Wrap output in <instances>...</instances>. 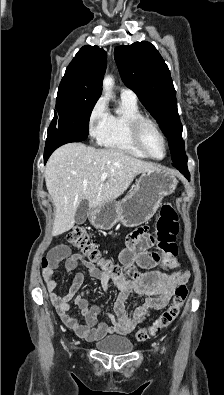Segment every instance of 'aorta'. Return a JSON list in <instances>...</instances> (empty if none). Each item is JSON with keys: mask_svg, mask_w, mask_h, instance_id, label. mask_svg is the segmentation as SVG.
<instances>
[{"mask_svg": "<svg viewBox=\"0 0 224 395\" xmlns=\"http://www.w3.org/2000/svg\"><path fill=\"white\" fill-rule=\"evenodd\" d=\"M113 85H114L113 77L110 75L105 76L103 80V91L105 96L111 97Z\"/></svg>", "mask_w": 224, "mask_h": 395, "instance_id": "1", "label": "aorta"}]
</instances>
